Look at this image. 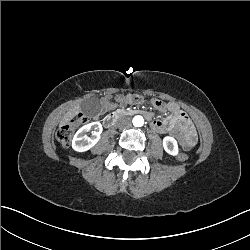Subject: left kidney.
I'll list each match as a JSON object with an SVG mask.
<instances>
[{
	"label": "left kidney",
	"instance_id": "obj_1",
	"mask_svg": "<svg viewBox=\"0 0 250 250\" xmlns=\"http://www.w3.org/2000/svg\"><path fill=\"white\" fill-rule=\"evenodd\" d=\"M163 143H164V148L168 153L173 154V155L177 153L178 148H177V143L174 138L166 137Z\"/></svg>",
	"mask_w": 250,
	"mask_h": 250
}]
</instances>
